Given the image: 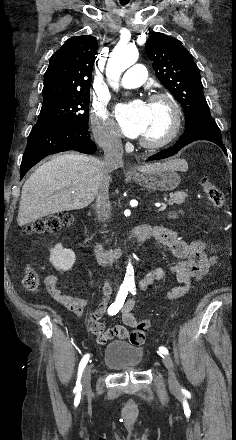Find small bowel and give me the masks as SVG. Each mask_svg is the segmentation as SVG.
Instances as JSON below:
<instances>
[{
  "label": "small bowel",
  "mask_w": 236,
  "mask_h": 440,
  "mask_svg": "<svg viewBox=\"0 0 236 440\" xmlns=\"http://www.w3.org/2000/svg\"><path fill=\"white\" fill-rule=\"evenodd\" d=\"M152 237L171 251L176 258V262L166 269L157 268L148 272L141 278L139 288L140 290L147 289L151 284L162 279L166 272H169L175 276L179 285L172 288L165 295V299L167 300H175L185 296L192 282L199 281L205 277L218 261L215 249L212 250L214 253L213 256L208 258L203 242L193 241L186 243L178 237L176 232L168 228L154 227ZM57 281L56 275L46 277L45 286L47 292L54 301L80 316L88 304L87 299L63 293L57 287ZM111 294V283L106 281L103 285L102 300L96 311L92 314L91 321H85V330H91L92 333L97 336V342L99 344H104L115 336L123 339H142L144 335L143 331L136 330L137 319L133 314L134 301L132 299H128L123 304L121 310V317L124 324H114L113 327H109L105 330V325L98 321L110 302ZM134 343L141 344L143 340Z\"/></svg>",
  "instance_id": "small-bowel-1"
}]
</instances>
